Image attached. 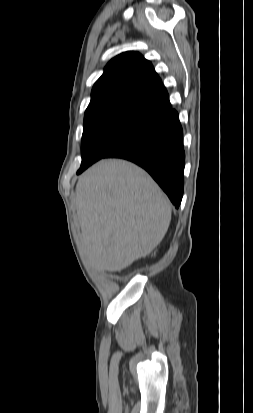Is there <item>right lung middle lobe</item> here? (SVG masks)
I'll list each match as a JSON object with an SVG mask.
<instances>
[{
  "label": "right lung middle lobe",
  "instance_id": "1",
  "mask_svg": "<svg viewBox=\"0 0 253 413\" xmlns=\"http://www.w3.org/2000/svg\"><path fill=\"white\" fill-rule=\"evenodd\" d=\"M159 120L158 117L128 109H111L86 115L81 145L82 162L77 174Z\"/></svg>",
  "mask_w": 253,
  "mask_h": 413
}]
</instances>
